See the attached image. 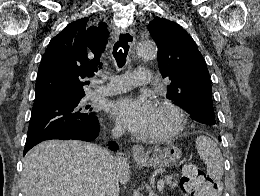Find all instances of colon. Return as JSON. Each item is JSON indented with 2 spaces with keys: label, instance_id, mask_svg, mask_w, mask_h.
<instances>
[{
  "label": "colon",
  "instance_id": "obj_1",
  "mask_svg": "<svg viewBox=\"0 0 260 196\" xmlns=\"http://www.w3.org/2000/svg\"><path fill=\"white\" fill-rule=\"evenodd\" d=\"M210 183L209 177L194 162L187 161L182 169V185L187 192H200Z\"/></svg>",
  "mask_w": 260,
  "mask_h": 196
}]
</instances>
